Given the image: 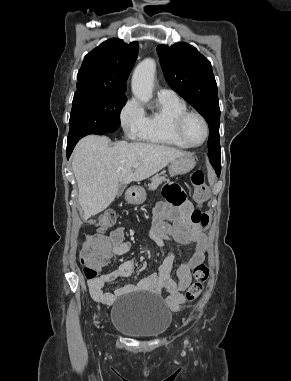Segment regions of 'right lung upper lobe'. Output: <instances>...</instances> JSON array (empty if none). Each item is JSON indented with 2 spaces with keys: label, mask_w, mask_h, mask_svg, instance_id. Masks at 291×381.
<instances>
[{
  "label": "right lung upper lobe",
  "mask_w": 291,
  "mask_h": 381,
  "mask_svg": "<svg viewBox=\"0 0 291 381\" xmlns=\"http://www.w3.org/2000/svg\"><path fill=\"white\" fill-rule=\"evenodd\" d=\"M138 55V43L104 41L84 57L77 89H100L124 94L126 81Z\"/></svg>",
  "instance_id": "right-lung-upper-lobe-1"
}]
</instances>
